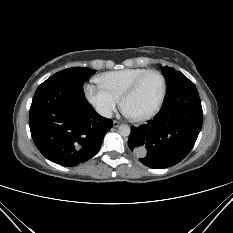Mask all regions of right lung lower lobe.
<instances>
[{
  "label": "right lung lower lobe",
  "instance_id": "98d812e1",
  "mask_svg": "<svg viewBox=\"0 0 233 233\" xmlns=\"http://www.w3.org/2000/svg\"><path fill=\"white\" fill-rule=\"evenodd\" d=\"M29 126L36 147L47 159L72 167L99 151L112 120L93 109L82 85L48 79L35 92Z\"/></svg>",
  "mask_w": 233,
  "mask_h": 233
}]
</instances>
